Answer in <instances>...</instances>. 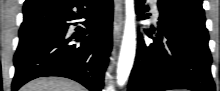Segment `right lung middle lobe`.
Listing matches in <instances>:
<instances>
[{
	"label": "right lung middle lobe",
	"instance_id": "1",
	"mask_svg": "<svg viewBox=\"0 0 220 91\" xmlns=\"http://www.w3.org/2000/svg\"><path fill=\"white\" fill-rule=\"evenodd\" d=\"M37 2H38V1H36V0H29V1L25 2L24 6H29V7H31V6H33V5H36Z\"/></svg>",
	"mask_w": 220,
	"mask_h": 91
}]
</instances>
